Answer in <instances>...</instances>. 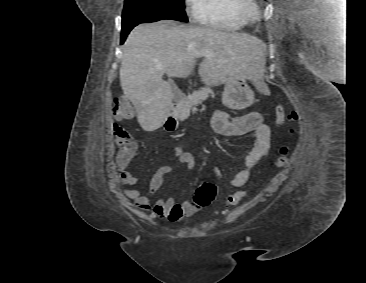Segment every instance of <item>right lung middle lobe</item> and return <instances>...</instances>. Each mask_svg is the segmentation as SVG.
<instances>
[{
    "mask_svg": "<svg viewBox=\"0 0 366 283\" xmlns=\"http://www.w3.org/2000/svg\"><path fill=\"white\" fill-rule=\"evenodd\" d=\"M163 19L187 22L184 0H125L122 27Z\"/></svg>",
    "mask_w": 366,
    "mask_h": 283,
    "instance_id": "right-lung-middle-lobe-1",
    "label": "right lung middle lobe"
}]
</instances>
